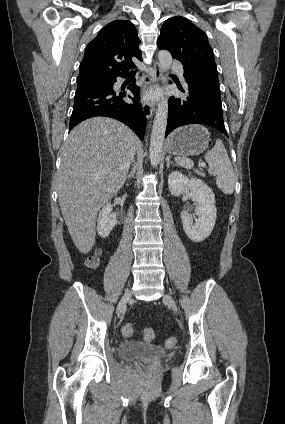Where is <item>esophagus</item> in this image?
<instances>
[{
  "label": "esophagus",
  "instance_id": "obj_1",
  "mask_svg": "<svg viewBox=\"0 0 285 424\" xmlns=\"http://www.w3.org/2000/svg\"><path fill=\"white\" fill-rule=\"evenodd\" d=\"M153 70H154V74L151 77H149L147 84L145 85V87L143 88V91H142V108H143V112L145 113L147 118H150V117L153 116V114L155 112V107L151 102H149L145 98V93H146L148 88H150L154 84L158 83L160 81L161 77H162L161 67H160L158 62H155L153 64Z\"/></svg>",
  "mask_w": 285,
  "mask_h": 424
}]
</instances>
